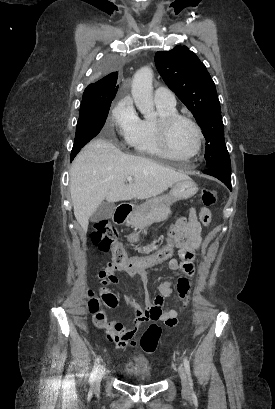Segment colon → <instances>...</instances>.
Returning a JSON list of instances; mask_svg holds the SVG:
<instances>
[{
    "label": "colon",
    "mask_w": 275,
    "mask_h": 409,
    "mask_svg": "<svg viewBox=\"0 0 275 409\" xmlns=\"http://www.w3.org/2000/svg\"><path fill=\"white\" fill-rule=\"evenodd\" d=\"M217 201V193L211 189H204L201 198L198 201L200 206L210 207ZM169 237L174 238L175 234L172 227L168 228ZM118 230L109 221H99L96 223L88 237V244L102 251L113 252L114 256L108 263V266L101 271L100 278L102 285L95 289L88 290V301L86 303L88 312L93 316V324L101 330L104 325H112L108 320L104 308H111L115 305L116 297L106 288L110 283H116L115 277L117 270H124L126 274H142L144 266L146 269H155L156 264L167 262L168 257H173L172 242L165 243L159 250L153 252L148 257L124 256V248L118 241ZM162 241L160 236L154 242L157 246ZM145 264V265H144Z\"/></svg>",
    "instance_id": "colon-1"
}]
</instances>
